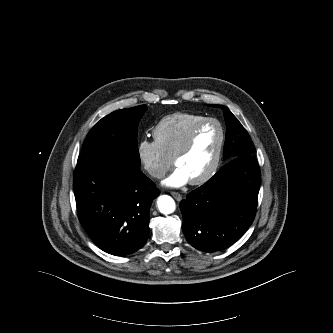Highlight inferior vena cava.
Instances as JSON below:
<instances>
[{
  "label": "inferior vena cava",
  "instance_id": "1",
  "mask_svg": "<svg viewBox=\"0 0 333 333\" xmlns=\"http://www.w3.org/2000/svg\"><path fill=\"white\" fill-rule=\"evenodd\" d=\"M149 174L152 177L158 178V179H162L165 177V171L162 169H151V170H149Z\"/></svg>",
  "mask_w": 333,
  "mask_h": 333
}]
</instances>
